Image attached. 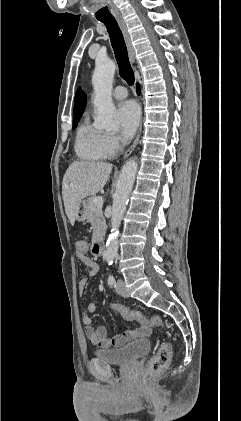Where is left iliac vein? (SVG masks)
Here are the masks:
<instances>
[{
  "instance_id": "1",
  "label": "left iliac vein",
  "mask_w": 241,
  "mask_h": 421,
  "mask_svg": "<svg viewBox=\"0 0 241 421\" xmlns=\"http://www.w3.org/2000/svg\"><path fill=\"white\" fill-rule=\"evenodd\" d=\"M115 289L118 292V294H120L121 296H123V297H129V293H128L127 289H126L124 280L119 279L116 282Z\"/></svg>"
}]
</instances>
